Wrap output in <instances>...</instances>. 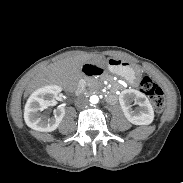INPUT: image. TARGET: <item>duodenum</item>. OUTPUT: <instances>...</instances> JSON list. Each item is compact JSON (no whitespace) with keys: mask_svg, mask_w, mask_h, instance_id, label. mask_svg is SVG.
I'll list each match as a JSON object with an SVG mask.
<instances>
[{"mask_svg":"<svg viewBox=\"0 0 183 183\" xmlns=\"http://www.w3.org/2000/svg\"><path fill=\"white\" fill-rule=\"evenodd\" d=\"M103 74V70L98 65H86L83 68V75L86 78L99 77Z\"/></svg>","mask_w":183,"mask_h":183,"instance_id":"obj_1","label":"duodenum"}]
</instances>
